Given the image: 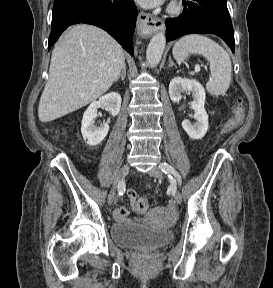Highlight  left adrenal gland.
<instances>
[{
  "label": "left adrenal gland",
  "mask_w": 273,
  "mask_h": 288,
  "mask_svg": "<svg viewBox=\"0 0 273 288\" xmlns=\"http://www.w3.org/2000/svg\"><path fill=\"white\" fill-rule=\"evenodd\" d=\"M173 66L176 67V65L173 63L171 57H169V67H173Z\"/></svg>",
  "instance_id": "a2214340"
}]
</instances>
